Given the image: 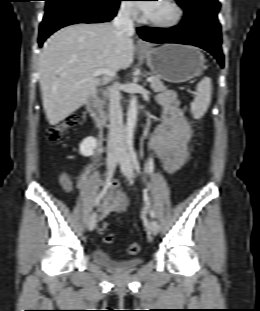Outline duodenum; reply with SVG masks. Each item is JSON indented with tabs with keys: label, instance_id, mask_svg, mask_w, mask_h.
I'll list each match as a JSON object with an SVG mask.
<instances>
[{
	"label": "duodenum",
	"instance_id": "410a0bca",
	"mask_svg": "<svg viewBox=\"0 0 260 311\" xmlns=\"http://www.w3.org/2000/svg\"><path fill=\"white\" fill-rule=\"evenodd\" d=\"M87 112L98 123L102 124L107 120V114L103 110L101 102L95 92H92L86 100Z\"/></svg>",
	"mask_w": 260,
	"mask_h": 311
}]
</instances>
